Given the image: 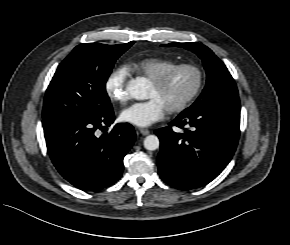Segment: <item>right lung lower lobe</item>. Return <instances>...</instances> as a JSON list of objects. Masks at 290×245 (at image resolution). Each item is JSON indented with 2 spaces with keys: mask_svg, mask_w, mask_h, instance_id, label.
<instances>
[{
  "mask_svg": "<svg viewBox=\"0 0 290 245\" xmlns=\"http://www.w3.org/2000/svg\"><path fill=\"white\" fill-rule=\"evenodd\" d=\"M112 110L102 116L43 121L50 158L59 173L75 187L95 191L116 182L123 171V158L136 134L128 123L116 124L97 137V130L114 122Z\"/></svg>",
  "mask_w": 290,
  "mask_h": 245,
  "instance_id": "98d812e1",
  "label": "right lung lower lobe"
}]
</instances>
